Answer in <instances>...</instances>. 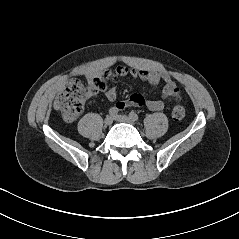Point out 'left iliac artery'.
Listing matches in <instances>:
<instances>
[{
    "label": "left iliac artery",
    "instance_id": "1",
    "mask_svg": "<svg viewBox=\"0 0 239 239\" xmlns=\"http://www.w3.org/2000/svg\"><path fill=\"white\" fill-rule=\"evenodd\" d=\"M129 117L134 120V121H138L139 120V116L135 113V112H130L129 113Z\"/></svg>",
    "mask_w": 239,
    "mask_h": 239
}]
</instances>
